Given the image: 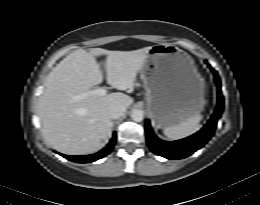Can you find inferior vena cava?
Here are the masks:
<instances>
[{
  "instance_id": "obj_1",
  "label": "inferior vena cava",
  "mask_w": 260,
  "mask_h": 205,
  "mask_svg": "<svg viewBox=\"0 0 260 205\" xmlns=\"http://www.w3.org/2000/svg\"><path fill=\"white\" fill-rule=\"evenodd\" d=\"M125 110H126L125 107H123L121 105H116L109 109L108 115L111 119H118L119 117H121L123 115Z\"/></svg>"
}]
</instances>
